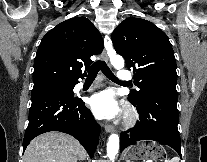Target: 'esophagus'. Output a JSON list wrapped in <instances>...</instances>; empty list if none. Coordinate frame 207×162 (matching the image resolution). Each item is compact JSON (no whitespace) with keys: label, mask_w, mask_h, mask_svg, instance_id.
Returning <instances> with one entry per match:
<instances>
[{"label":"esophagus","mask_w":207,"mask_h":162,"mask_svg":"<svg viewBox=\"0 0 207 162\" xmlns=\"http://www.w3.org/2000/svg\"><path fill=\"white\" fill-rule=\"evenodd\" d=\"M104 46H105V49H104V51H103L102 56H103V59H104L106 62H108V61H109L108 52H109V49H112V41H111V39H110L109 36H106V37L104 38ZM105 131H106L107 133H110V132L113 131V127H112L111 125L106 124V125H105Z\"/></svg>","instance_id":"34e87169"}]
</instances>
